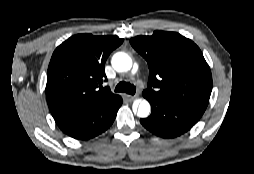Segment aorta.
I'll list each match as a JSON object with an SVG mask.
<instances>
[{"label": "aorta", "mask_w": 254, "mask_h": 174, "mask_svg": "<svg viewBox=\"0 0 254 174\" xmlns=\"http://www.w3.org/2000/svg\"><path fill=\"white\" fill-rule=\"evenodd\" d=\"M113 68L118 72H127L132 67V59L131 57L122 52H118L113 55L111 60ZM137 69V66H136ZM151 111V107L148 101L143 100L140 102L138 106L137 116L140 118H146L149 116Z\"/></svg>", "instance_id": "obj_1"}]
</instances>
